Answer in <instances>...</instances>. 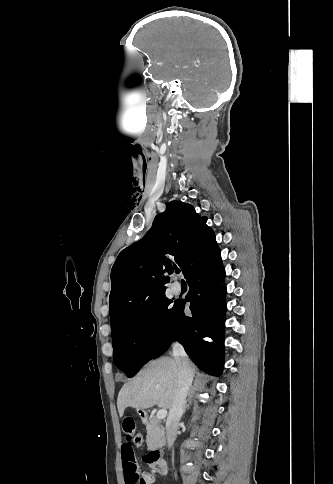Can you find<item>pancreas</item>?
I'll list each match as a JSON object with an SVG mask.
<instances>
[{
	"label": "pancreas",
	"instance_id": "obj_1",
	"mask_svg": "<svg viewBox=\"0 0 333 484\" xmlns=\"http://www.w3.org/2000/svg\"><path fill=\"white\" fill-rule=\"evenodd\" d=\"M146 443L149 450L160 448L165 443L164 427L156 417H151L147 424Z\"/></svg>",
	"mask_w": 333,
	"mask_h": 484
}]
</instances>
